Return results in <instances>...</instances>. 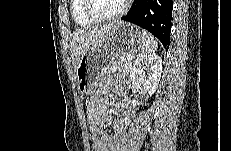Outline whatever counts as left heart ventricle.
<instances>
[{
	"label": "left heart ventricle",
	"instance_id": "1",
	"mask_svg": "<svg viewBox=\"0 0 231 151\" xmlns=\"http://www.w3.org/2000/svg\"><path fill=\"white\" fill-rule=\"evenodd\" d=\"M124 0H93V10L99 16H108L117 13Z\"/></svg>",
	"mask_w": 231,
	"mask_h": 151
}]
</instances>
